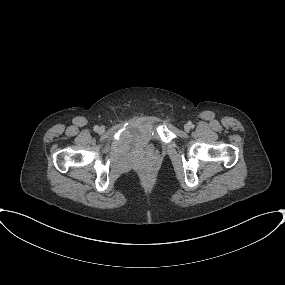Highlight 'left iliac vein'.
<instances>
[{"label":"left iliac vein","instance_id":"obj_1","mask_svg":"<svg viewBox=\"0 0 285 285\" xmlns=\"http://www.w3.org/2000/svg\"><path fill=\"white\" fill-rule=\"evenodd\" d=\"M184 129H185V131H189V130H190V125L186 124V125L184 126Z\"/></svg>","mask_w":285,"mask_h":285}]
</instances>
